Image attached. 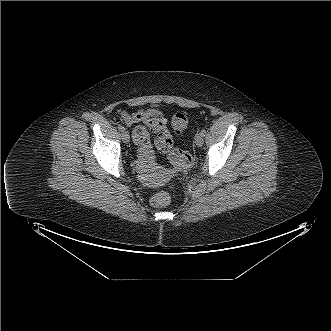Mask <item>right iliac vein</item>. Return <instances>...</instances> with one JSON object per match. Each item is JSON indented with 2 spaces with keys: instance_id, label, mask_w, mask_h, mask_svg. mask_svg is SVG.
Wrapping results in <instances>:
<instances>
[{
  "instance_id": "1",
  "label": "right iliac vein",
  "mask_w": 331,
  "mask_h": 331,
  "mask_svg": "<svg viewBox=\"0 0 331 331\" xmlns=\"http://www.w3.org/2000/svg\"><path fill=\"white\" fill-rule=\"evenodd\" d=\"M130 139L129 133L127 130L122 131V140L125 143H128Z\"/></svg>"
}]
</instances>
